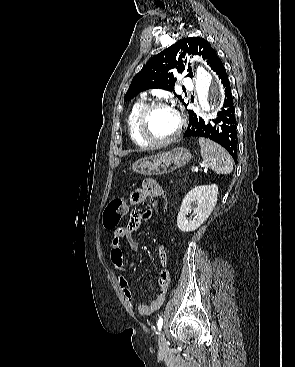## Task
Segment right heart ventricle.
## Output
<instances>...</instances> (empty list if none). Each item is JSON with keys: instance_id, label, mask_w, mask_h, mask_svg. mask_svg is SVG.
Returning a JSON list of instances; mask_svg holds the SVG:
<instances>
[{"instance_id": "obj_1", "label": "right heart ventricle", "mask_w": 295, "mask_h": 367, "mask_svg": "<svg viewBox=\"0 0 295 367\" xmlns=\"http://www.w3.org/2000/svg\"><path fill=\"white\" fill-rule=\"evenodd\" d=\"M145 105H146L145 100L137 101L136 103L133 104L127 116V129H128L129 136L132 142L141 148H146L149 146L146 142H144L140 138L137 132V119H138L140 111L142 110V108Z\"/></svg>"}]
</instances>
